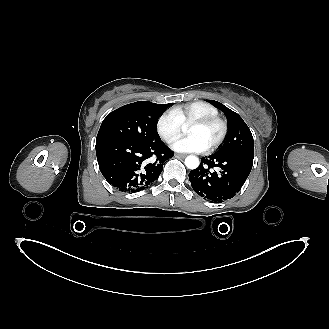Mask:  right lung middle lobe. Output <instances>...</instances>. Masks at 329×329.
<instances>
[{
    "instance_id": "obj_1",
    "label": "right lung middle lobe",
    "mask_w": 329,
    "mask_h": 329,
    "mask_svg": "<svg viewBox=\"0 0 329 329\" xmlns=\"http://www.w3.org/2000/svg\"><path fill=\"white\" fill-rule=\"evenodd\" d=\"M169 104H155L139 101L122 106L103 120L97 139L113 137L142 143L160 141L157 121Z\"/></svg>"
}]
</instances>
